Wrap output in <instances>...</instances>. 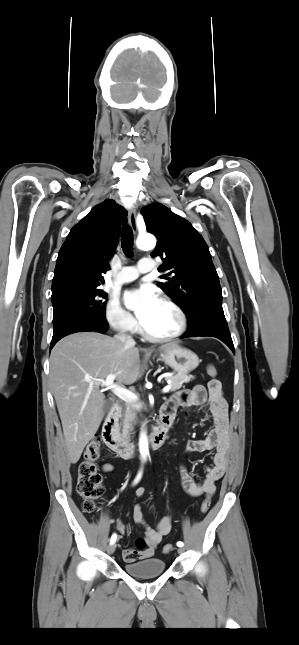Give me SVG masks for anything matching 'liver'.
<instances>
[{
    "mask_svg": "<svg viewBox=\"0 0 299 645\" xmlns=\"http://www.w3.org/2000/svg\"><path fill=\"white\" fill-rule=\"evenodd\" d=\"M177 343L159 347L161 351ZM139 349L97 332H82L61 339L50 355V385L57 404L67 456L75 464L97 432L104 414L105 395L96 379L115 375L119 384L138 380ZM93 381V384L89 382Z\"/></svg>",
    "mask_w": 299,
    "mask_h": 645,
    "instance_id": "liver-1",
    "label": "liver"
}]
</instances>
